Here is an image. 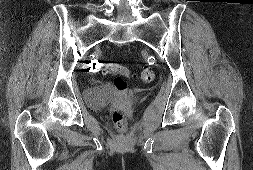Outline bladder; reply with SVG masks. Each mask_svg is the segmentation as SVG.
<instances>
[{
  "instance_id": "bladder-1",
  "label": "bladder",
  "mask_w": 253,
  "mask_h": 170,
  "mask_svg": "<svg viewBox=\"0 0 253 170\" xmlns=\"http://www.w3.org/2000/svg\"><path fill=\"white\" fill-rule=\"evenodd\" d=\"M114 96L115 92L112 88L107 85H98L87 89L85 99L90 107L98 110L107 105Z\"/></svg>"
}]
</instances>
